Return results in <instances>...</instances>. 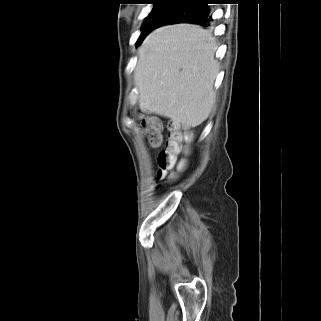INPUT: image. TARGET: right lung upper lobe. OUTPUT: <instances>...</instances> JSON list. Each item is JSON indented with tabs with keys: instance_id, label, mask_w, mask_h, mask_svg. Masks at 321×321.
<instances>
[{
	"instance_id": "obj_1",
	"label": "right lung upper lobe",
	"mask_w": 321,
	"mask_h": 321,
	"mask_svg": "<svg viewBox=\"0 0 321 321\" xmlns=\"http://www.w3.org/2000/svg\"><path fill=\"white\" fill-rule=\"evenodd\" d=\"M151 1H171L174 2V5H182L195 0H151ZM206 1V0H204Z\"/></svg>"
}]
</instances>
